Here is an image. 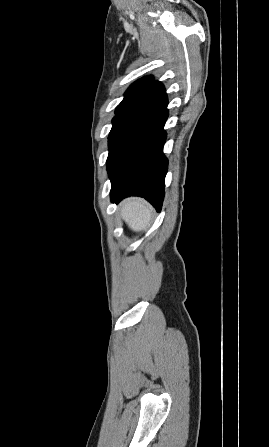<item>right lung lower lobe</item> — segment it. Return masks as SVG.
Returning a JSON list of instances; mask_svg holds the SVG:
<instances>
[{"mask_svg":"<svg viewBox=\"0 0 269 447\" xmlns=\"http://www.w3.org/2000/svg\"><path fill=\"white\" fill-rule=\"evenodd\" d=\"M167 96L124 117L109 136L107 170L110 197L119 202L126 196H141L157 211L164 198L168 160L163 154L168 117Z\"/></svg>","mask_w":269,"mask_h":447,"instance_id":"obj_1","label":"right lung lower lobe"}]
</instances>
